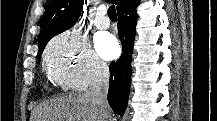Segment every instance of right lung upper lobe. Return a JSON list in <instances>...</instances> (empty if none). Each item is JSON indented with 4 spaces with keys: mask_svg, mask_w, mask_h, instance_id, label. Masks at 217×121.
<instances>
[{
    "mask_svg": "<svg viewBox=\"0 0 217 121\" xmlns=\"http://www.w3.org/2000/svg\"><path fill=\"white\" fill-rule=\"evenodd\" d=\"M111 1L117 5V10L124 2ZM83 5V0H50L40 24L39 50L44 49L52 37L70 29L78 21L83 13Z\"/></svg>",
    "mask_w": 217,
    "mask_h": 121,
    "instance_id": "cb5924a9",
    "label": "right lung upper lobe"
}]
</instances>
